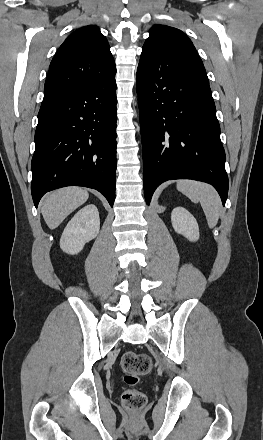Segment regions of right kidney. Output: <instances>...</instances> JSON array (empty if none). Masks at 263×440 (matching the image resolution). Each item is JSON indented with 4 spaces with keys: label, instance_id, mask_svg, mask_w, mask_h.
<instances>
[{
    "label": "right kidney",
    "instance_id": "obj_1",
    "mask_svg": "<svg viewBox=\"0 0 263 440\" xmlns=\"http://www.w3.org/2000/svg\"><path fill=\"white\" fill-rule=\"evenodd\" d=\"M99 229L98 209L89 204L80 209L65 227L60 239V248L68 254H78L86 243L96 238Z\"/></svg>",
    "mask_w": 263,
    "mask_h": 440
}]
</instances>
